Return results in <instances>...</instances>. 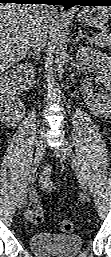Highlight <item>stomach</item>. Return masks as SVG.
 <instances>
[{
  "label": "stomach",
  "instance_id": "stomach-1",
  "mask_svg": "<svg viewBox=\"0 0 111 257\" xmlns=\"http://www.w3.org/2000/svg\"><path fill=\"white\" fill-rule=\"evenodd\" d=\"M78 21L84 25L102 28L108 21V14L105 8H83L77 15Z\"/></svg>",
  "mask_w": 111,
  "mask_h": 257
}]
</instances>
